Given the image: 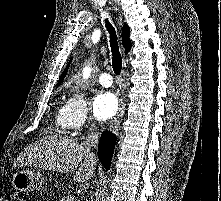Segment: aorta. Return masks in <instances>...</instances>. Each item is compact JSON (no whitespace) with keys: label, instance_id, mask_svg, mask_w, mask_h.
Instances as JSON below:
<instances>
[{"label":"aorta","instance_id":"1","mask_svg":"<svg viewBox=\"0 0 221 201\" xmlns=\"http://www.w3.org/2000/svg\"><path fill=\"white\" fill-rule=\"evenodd\" d=\"M91 69L90 67L85 68L84 70V78H88L90 76Z\"/></svg>","mask_w":221,"mask_h":201}]
</instances>
